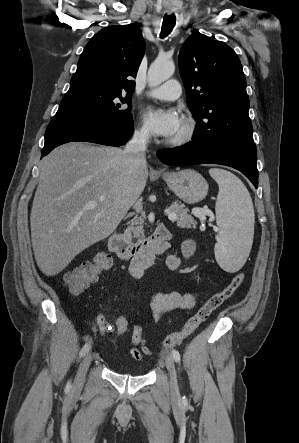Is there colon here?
<instances>
[{
	"label": "colon",
	"mask_w": 299,
	"mask_h": 443,
	"mask_svg": "<svg viewBox=\"0 0 299 443\" xmlns=\"http://www.w3.org/2000/svg\"><path fill=\"white\" fill-rule=\"evenodd\" d=\"M110 264V254L100 252L92 261L82 263L74 270L68 272L64 276V283L72 294L78 295L90 283L95 281L98 275L108 268ZM244 280L245 274L242 272L237 273L222 290L214 293L206 300L197 312L188 319L181 330L166 336L162 341V346L166 349L172 348L192 335L214 311L233 296ZM111 325L116 336H122L129 332L132 346L138 347L145 341V333L142 327L128 314L122 313L118 315Z\"/></svg>",
	"instance_id": "colon-1"
}]
</instances>
